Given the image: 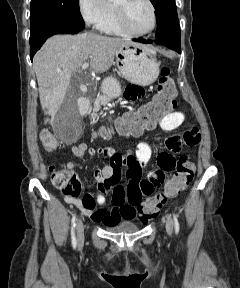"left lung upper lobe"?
Listing matches in <instances>:
<instances>
[{
    "label": "left lung upper lobe",
    "instance_id": "left-lung-upper-lobe-1",
    "mask_svg": "<svg viewBox=\"0 0 240 288\" xmlns=\"http://www.w3.org/2000/svg\"><path fill=\"white\" fill-rule=\"evenodd\" d=\"M156 10V38L180 37L179 21L175 0H150Z\"/></svg>",
    "mask_w": 240,
    "mask_h": 288
}]
</instances>
